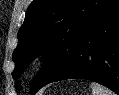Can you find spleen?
Masks as SVG:
<instances>
[{"label":"spleen","instance_id":"1","mask_svg":"<svg viewBox=\"0 0 119 95\" xmlns=\"http://www.w3.org/2000/svg\"><path fill=\"white\" fill-rule=\"evenodd\" d=\"M91 88L93 95H115L114 92L96 82L91 83Z\"/></svg>","mask_w":119,"mask_h":95}]
</instances>
